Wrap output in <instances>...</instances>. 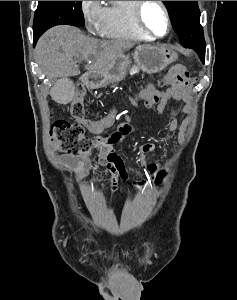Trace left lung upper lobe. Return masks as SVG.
<instances>
[{
	"mask_svg": "<svg viewBox=\"0 0 237 300\" xmlns=\"http://www.w3.org/2000/svg\"><path fill=\"white\" fill-rule=\"evenodd\" d=\"M169 10L174 30L180 43L191 48L199 55L202 62L205 59V40L200 25V11L197 1H163Z\"/></svg>",
	"mask_w": 237,
	"mask_h": 300,
	"instance_id": "1",
	"label": "left lung upper lobe"
}]
</instances>
